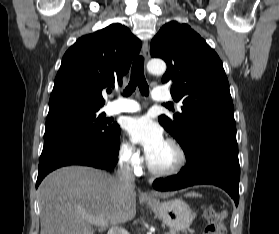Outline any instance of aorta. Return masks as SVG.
<instances>
[{
  "label": "aorta",
  "mask_w": 279,
  "mask_h": 234,
  "mask_svg": "<svg viewBox=\"0 0 279 234\" xmlns=\"http://www.w3.org/2000/svg\"><path fill=\"white\" fill-rule=\"evenodd\" d=\"M147 70L151 74L161 75L166 71V64L163 60L152 59L147 64Z\"/></svg>",
  "instance_id": "aorta-1"
}]
</instances>
